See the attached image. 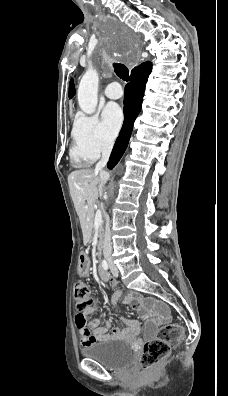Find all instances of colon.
<instances>
[{
  "label": "colon",
  "mask_w": 228,
  "mask_h": 396,
  "mask_svg": "<svg viewBox=\"0 0 228 396\" xmlns=\"http://www.w3.org/2000/svg\"><path fill=\"white\" fill-rule=\"evenodd\" d=\"M74 298L79 309L76 315V326L78 329H82L87 324L86 310L92 303L90 290L84 282L75 284ZM183 333V328L179 324L163 326L155 337L145 342L139 359L140 367L145 371L155 369L167 358L171 349L179 343Z\"/></svg>",
  "instance_id": "colon-1"
}]
</instances>
